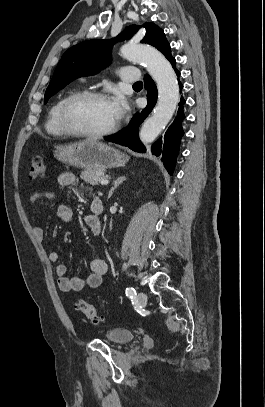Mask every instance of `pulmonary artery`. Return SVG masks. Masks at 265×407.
<instances>
[{"mask_svg": "<svg viewBox=\"0 0 265 407\" xmlns=\"http://www.w3.org/2000/svg\"><path fill=\"white\" fill-rule=\"evenodd\" d=\"M119 74H120V79L126 83H128V82L136 83V82H139V80H140V73L133 66L122 67Z\"/></svg>", "mask_w": 265, "mask_h": 407, "instance_id": "1", "label": "pulmonary artery"}]
</instances>
